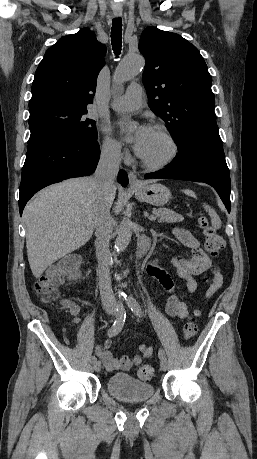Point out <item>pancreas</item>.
<instances>
[{
  "label": "pancreas",
  "mask_w": 257,
  "mask_h": 459,
  "mask_svg": "<svg viewBox=\"0 0 257 459\" xmlns=\"http://www.w3.org/2000/svg\"><path fill=\"white\" fill-rule=\"evenodd\" d=\"M153 212L158 217L159 222L175 223L183 220L180 214L166 208L154 209Z\"/></svg>",
  "instance_id": "obj_1"
}]
</instances>
